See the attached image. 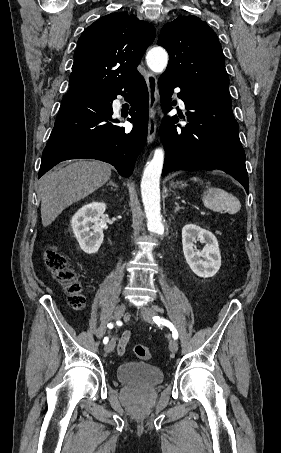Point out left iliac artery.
Wrapping results in <instances>:
<instances>
[{
	"mask_svg": "<svg viewBox=\"0 0 281 453\" xmlns=\"http://www.w3.org/2000/svg\"><path fill=\"white\" fill-rule=\"evenodd\" d=\"M153 320H154V322L156 324H162V325L167 326L172 331V337L175 340L178 338V332H177L176 328L174 327V325L170 321H168L166 319H163V318H160L159 316H154Z\"/></svg>",
	"mask_w": 281,
	"mask_h": 453,
	"instance_id": "44dca946",
	"label": "left iliac artery"
}]
</instances>
